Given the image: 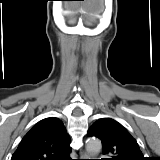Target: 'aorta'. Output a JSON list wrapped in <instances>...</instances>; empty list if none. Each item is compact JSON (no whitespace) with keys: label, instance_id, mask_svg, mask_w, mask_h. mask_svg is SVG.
I'll list each match as a JSON object with an SVG mask.
<instances>
[{"label":"aorta","instance_id":"aorta-1","mask_svg":"<svg viewBox=\"0 0 160 160\" xmlns=\"http://www.w3.org/2000/svg\"><path fill=\"white\" fill-rule=\"evenodd\" d=\"M102 149L101 141L97 138H90L86 143V150L91 156H96Z\"/></svg>","mask_w":160,"mask_h":160}]
</instances>
